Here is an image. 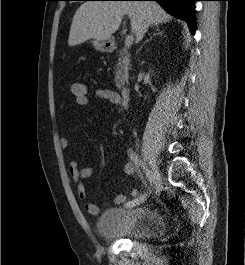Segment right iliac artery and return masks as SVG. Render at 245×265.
Wrapping results in <instances>:
<instances>
[{
  "label": "right iliac artery",
  "instance_id": "obj_1",
  "mask_svg": "<svg viewBox=\"0 0 245 265\" xmlns=\"http://www.w3.org/2000/svg\"><path fill=\"white\" fill-rule=\"evenodd\" d=\"M129 153H130L129 156H130L131 160H133V162L135 163V165H137V166H141V167H142L143 172L145 173V175H146L148 181H149L150 183H152L151 172H150L147 168H145L144 165L141 164V161H139L137 155H136L133 151H130ZM147 196H148V194H147V193H144V194H143L142 196H140L139 198H135V199H133V200H131V201L126 202V203H125V206H126V207H131V206L133 207V206H135V205H140V204H142V203L145 202Z\"/></svg>",
  "mask_w": 245,
  "mask_h": 265
}]
</instances>
